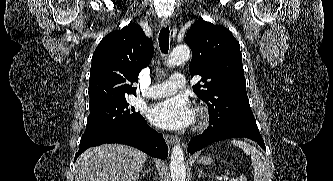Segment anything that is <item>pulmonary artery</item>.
Instances as JSON below:
<instances>
[{
    "label": "pulmonary artery",
    "instance_id": "pulmonary-artery-1",
    "mask_svg": "<svg viewBox=\"0 0 333 181\" xmlns=\"http://www.w3.org/2000/svg\"><path fill=\"white\" fill-rule=\"evenodd\" d=\"M186 84L185 76L181 73L171 75L168 81L152 86L147 92L149 98H161L176 92Z\"/></svg>",
    "mask_w": 333,
    "mask_h": 181
}]
</instances>
